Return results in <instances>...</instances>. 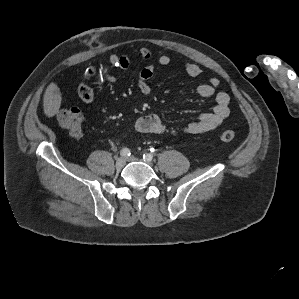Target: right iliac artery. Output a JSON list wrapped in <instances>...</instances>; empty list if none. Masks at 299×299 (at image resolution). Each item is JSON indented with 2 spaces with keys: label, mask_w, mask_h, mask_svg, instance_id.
<instances>
[{
  "label": "right iliac artery",
  "mask_w": 299,
  "mask_h": 299,
  "mask_svg": "<svg viewBox=\"0 0 299 299\" xmlns=\"http://www.w3.org/2000/svg\"><path fill=\"white\" fill-rule=\"evenodd\" d=\"M120 155L122 157H129L131 155V151L128 149V148H123L121 151H120Z\"/></svg>",
  "instance_id": "1"
}]
</instances>
